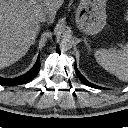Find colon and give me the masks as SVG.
<instances>
[{
  "mask_svg": "<svg viewBox=\"0 0 128 128\" xmlns=\"http://www.w3.org/2000/svg\"><path fill=\"white\" fill-rule=\"evenodd\" d=\"M128 3V0H126ZM124 18L125 20L128 22V8L126 9L125 13H124Z\"/></svg>",
  "mask_w": 128,
  "mask_h": 128,
  "instance_id": "obj_1",
  "label": "colon"
}]
</instances>
